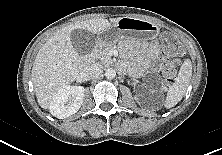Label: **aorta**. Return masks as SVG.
<instances>
[{"instance_id": "obj_1", "label": "aorta", "mask_w": 222, "mask_h": 155, "mask_svg": "<svg viewBox=\"0 0 222 155\" xmlns=\"http://www.w3.org/2000/svg\"><path fill=\"white\" fill-rule=\"evenodd\" d=\"M105 76L107 79H113L116 76V72L113 68H107L105 71Z\"/></svg>"}]
</instances>
